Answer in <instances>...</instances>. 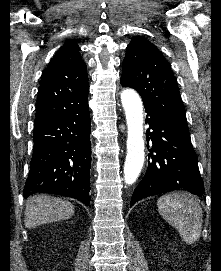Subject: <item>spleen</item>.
Returning <instances> with one entry per match:
<instances>
[{
	"instance_id": "spleen-1",
	"label": "spleen",
	"mask_w": 221,
	"mask_h": 271,
	"mask_svg": "<svg viewBox=\"0 0 221 271\" xmlns=\"http://www.w3.org/2000/svg\"><path fill=\"white\" fill-rule=\"evenodd\" d=\"M158 211L170 225L178 229L182 241L195 243L202 231V207L186 193H166L157 201Z\"/></svg>"
}]
</instances>
